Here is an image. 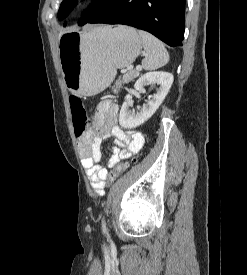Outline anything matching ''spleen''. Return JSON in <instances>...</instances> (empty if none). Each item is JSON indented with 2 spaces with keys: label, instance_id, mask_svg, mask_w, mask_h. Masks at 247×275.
Segmentation results:
<instances>
[{
  "label": "spleen",
  "instance_id": "obj_1",
  "mask_svg": "<svg viewBox=\"0 0 247 275\" xmlns=\"http://www.w3.org/2000/svg\"><path fill=\"white\" fill-rule=\"evenodd\" d=\"M143 41L145 58L142 60V66L145 70H155L169 61V54L164 44L146 31H138Z\"/></svg>",
  "mask_w": 247,
  "mask_h": 275
}]
</instances>
